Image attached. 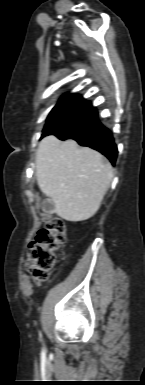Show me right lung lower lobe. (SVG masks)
<instances>
[{"label": "right lung lower lobe", "mask_w": 145, "mask_h": 385, "mask_svg": "<svg viewBox=\"0 0 145 385\" xmlns=\"http://www.w3.org/2000/svg\"><path fill=\"white\" fill-rule=\"evenodd\" d=\"M59 139H74L81 146L91 147L105 155L114 165L118 154L112 133L97 118V110L91 108L66 129L55 134Z\"/></svg>", "instance_id": "98d812e1"}]
</instances>
